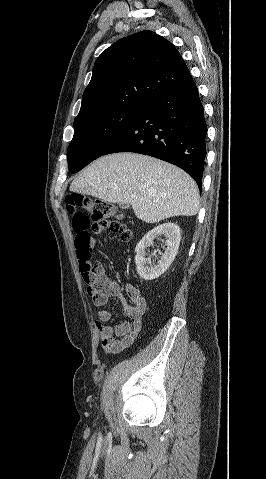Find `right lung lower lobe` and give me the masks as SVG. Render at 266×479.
<instances>
[{"instance_id": "1", "label": "right lung lower lobe", "mask_w": 266, "mask_h": 479, "mask_svg": "<svg viewBox=\"0 0 266 479\" xmlns=\"http://www.w3.org/2000/svg\"><path fill=\"white\" fill-rule=\"evenodd\" d=\"M207 125L193 79L162 92L108 146L102 155L135 152L172 163L201 189Z\"/></svg>"}]
</instances>
